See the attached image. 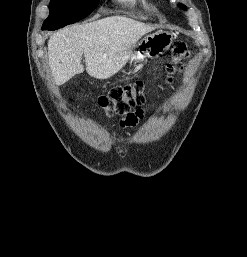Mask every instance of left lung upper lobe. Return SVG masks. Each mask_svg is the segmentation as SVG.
<instances>
[{"label": "left lung upper lobe", "instance_id": "5c2ea615", "mask_svg": "<svg viewBox=\"0 0 247 257\" xmlns=\"http://www.w3.org/2000/svg\"><path fill=\"white\" fill-rule=\"evenodd\" d=\"M179 7L184 9V10H186V7L184 5H182V4H179Z\"/></svg>", "mask_w": 247, "mask_h": 257}]
</instances>
